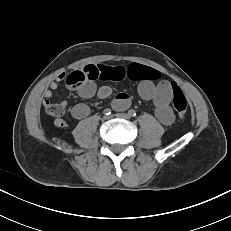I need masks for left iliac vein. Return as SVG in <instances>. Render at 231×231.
I'll return each instance as SVG.
<instances>
[{"label":"left iliac vein","mask_w":231,"mask_h":231,"mask_svg":"<svg viewBox=\"0 0 231 231\" xmlns=\"http://www.w3.org/2000/svg\"><path fill=\"white\" fill-rule=\"evenodd\" d=\"M115 116L118 117V118L125 119V120H129L130 119V115L127 114V113H117Z\"/></svg>","instance_id":"4c4485c4"}]
</instances>
